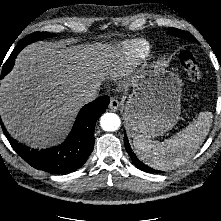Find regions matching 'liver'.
<instances>
[{"instance_id": "obj_1", "label": "liver", "mask_w": 221, "mask_h": 221, "mask_svg": "<svg viewBox=\"0 0 221 221\" xmlns=\"http://www.w3.org/2000/svg\"><path fill=\"white\" fill-rule=\"evenodd\" d=\"M90 51L49 43L24 48L0 87V116L15 139L33 147L59 141L82 106L77 95L99 87Z\"/></svg>"}]
</instances>
